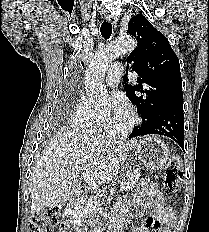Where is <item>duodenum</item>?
<instances>
[{
	"label": "duodenum",
	"mask_w": 209,
	"mask_h": 232,
	"mask_svg": "<svg viewBox=\"0 0 209 232\" xmlns=\"http://www.w3.org/2000/svg\"><path fill=\"white\" fill-rule=\"evenodd\" d=\"M81 199L73 197L69 201L65 210V221L63 223V230L65 232H84L81 223L76 218V210L80 205ZM121 227L118 222L113 223L107 232H120Z\"/></svg>",
	"instance_id": "410a0bca"
}]
</instances>
